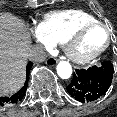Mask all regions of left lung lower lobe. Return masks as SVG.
Returning a JSON list of instances; mask_svg holds the SVG:
<instances>
[{
    "instance_id": "1",
    "label": "left lung lower lobe",
    "mask_w": 117,
    "mask_h": 117,
    "mask_svg": "<svg viewBox=\"0 0 117 117\" xmlns=\"http://www.w3.org/2000/svg\"><path fill=\"white\" fill-rule=\"evenodd\" d=\"M113 73V64L107 61L103 62L100 67L77 69L72 81L67 86V91L79 102L96 101L109 89Z\"/></svg>"
}]
</instances>
